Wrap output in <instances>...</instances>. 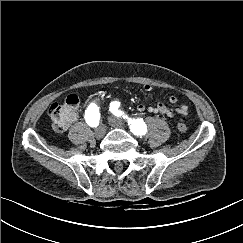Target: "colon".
I'll use <instances>...</instances> for the list:
<instances>
[{
    "label": "colon",
    "mask_w": 243,
    "mask_h": 243,
    "mask_svg": "<svg viewBox=\"0 0 243 243\" xmlns=\"http://www.w3.org/2000/svg\"><path fill=\"white\" fill-rule=\"evenodd\" d=\"M79 99L76 95H69L66 100L59 104L54 103L49 110V115L52 125L57 131H64L68 126L75 121L78 115ZM178 130L186 132L188 125L185 119H181L178 123Z\"/></svg>",
    "instance_id": "colon-1"
}]
</instances>
